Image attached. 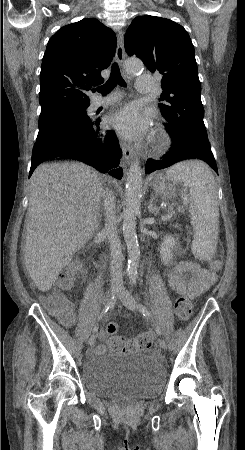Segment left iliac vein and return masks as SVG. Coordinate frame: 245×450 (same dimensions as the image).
Masks as SVG:
<instances>
[{"label": "left iliac vein", "mask_w": 245, "mask_h": 450, "mask_svg": "<svg viewBox=\"0 0 245 450\" xmlns=\"http://www.w3.org/2000/svg\"><path fill=\"white\" fill-rule=\"evenodd\" d=\"M118 297L121 300L122 304L128 309L135 311L137 310V302L132 294L122 285L118 291ZM159 346L161 349L165 350L167 348L166 341L163 338L159 339Z\"/></svg>", "instance_id": "1"}]
</instances>
